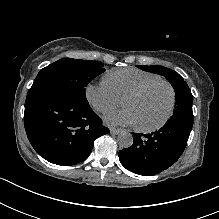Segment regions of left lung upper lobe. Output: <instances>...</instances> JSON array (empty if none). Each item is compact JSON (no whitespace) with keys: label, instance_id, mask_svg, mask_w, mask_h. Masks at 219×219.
<instances>
[{"label":"left lung upper lobe","instance_id":"5c2ea615","mask_svg":"<svg viewBox=\"0 0 219 219\" xmlns=\"http://www.w3.org/2000/svg\"><path fill=\"white\" fill-rule=\"evenodd\" d=\"M141 70L153 72L164 76L173 86L175 90L176 107L174 114L170 118L193 119L192 103L193 96L181 75L177 72L163 66H137Z\"/></svg>","mask_w":219,"mask_h":219}]
</instances>
